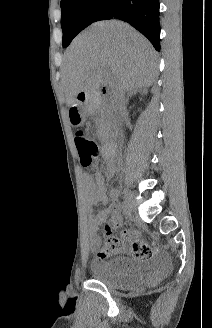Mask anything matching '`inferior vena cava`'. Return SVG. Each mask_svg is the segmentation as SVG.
I'll return each mask as SVG.
<instances>
[{"instance_id":"602c4592","label":"inferior vena cava","mask_w":212,"mask_h":328,"mask_svg":"<svg viewBox=\"0 0 212 328\" xmlns=\"http://www.w3.org/2000/svg\"><path fill=\"white\" fill-rule=\"evenodd\" d=\"M125 91L118 90L114 94V112L115 116L118 120L122 121L123 117L126 114V107H125Z\"/></svg>"}]
</instances>
